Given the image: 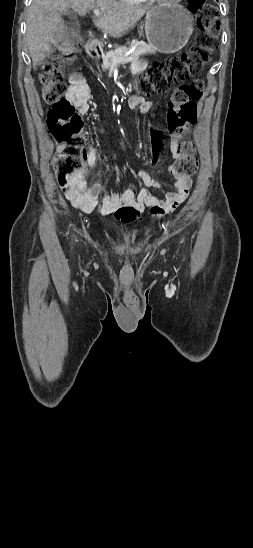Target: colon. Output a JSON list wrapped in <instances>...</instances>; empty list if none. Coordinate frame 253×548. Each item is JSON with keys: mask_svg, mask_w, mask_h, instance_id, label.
<instances>
[{"mask_svg": "<svg viewBox=\"0 0 253 548\" xmlns=\"http://www.w3.org/2000/svg\"><path fill=\"white\" fill-rule=\"evenodd\" d=\"M188 3L197 13L200 33L196 43L189 50L165 62L153 63L137 79V90L145 96L166 94L172 86L192 80L173 92L166 119L168 127L160 129L162 136L181 137L195 123L196 100L202 97L204 91V83L198 77L217 47L220 32V21L215 8L207 0H188ZM74 60L75 43H70L61 51H53L41 62L39 75L42 97L51 105L47 123L58 143L55 163L58 181L63 186L68 185L72 176L83 169L79 145L83 123L75 107L65 98L68 88L64 70ZM160 163V157L150 160L152 166ZM197 168L198 161L193 145L190 142H181L177 157L169 168L170 173L190 177Z\"/></svg>", "mask_w": 253, "mask_h": 548, "instance_id": "1", "label": "colon"}]
</instances>
